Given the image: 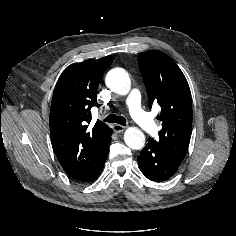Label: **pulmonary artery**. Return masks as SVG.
Here are the masks:
<instances>
[{
  "label": "pulmonary artery",
  "instance_id": "1",
  "mask_svg": "<svg viewBox=\"0 0 236 236\" xmlns=\"http://www.w3.org/2000/svg\"><path fill=\"white\" fill-rule=\"evenodd\" d=\"M127 105L133 119L142 129L149 133H155L157 126L152 118L141 108V96L137 89L129 91L127 96Z\"/></svg>",
  "mask_w": 236,
  "mask_h": 236
}]
</instances>
